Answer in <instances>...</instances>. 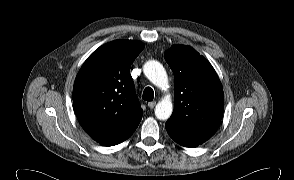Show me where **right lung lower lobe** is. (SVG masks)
Here are the masks:
<instances>
[{"label":"right lung lower lobe","instance_id":"obj_1","mask_svg":"<svg viewBox=\"0 0 294 180\" xmlns=\"http://www.w3.org/2000/svg\"><path fill=\"white\" fill-rule=\"evenodd\" d=\"M141 120V119H140ZM140 120H138L133 126H131L129 129H127L126 131H124L120 136L110 140V141H105L103 143H100L101 145L104 146H112V145H117L121 142H123L124 140H126L127 138H129L133 132L136 130V128L139 125Z\"/></svg>","mask_w":294,"mask_h":180}]
</instances>
